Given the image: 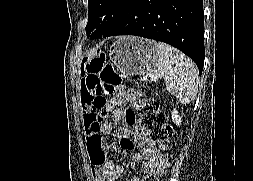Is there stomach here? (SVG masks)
Listing matches in <instances>:
<instances>
[{
    "mask_svg": "<svg viewBox=\"0 0 253 181\" xmlns=\"http://www.w3.org/2000/svg\"><path fill=\"white\" fill-rule=\"evenodd\" d=\"M109 58L123 75L150 74L157 66V43L145 38L123 36L111 46Z\"/></svg>",
    "mask_w": 253,
    "mask_h": 181,
    "instance_id": "0dacf381",
    "label": "stomach"
}]
</instances>
